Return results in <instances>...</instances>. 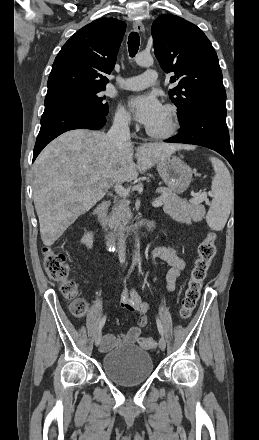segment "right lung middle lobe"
Masks as SVG:
<instances>
[{
    "label": "right lung middle lobe",
    "mask_w": 259,
    "mask_h": 440,
    "mask_svg": "<svg viewBox=\"0 0 259 440\" xmlns=\"http://www.w3.org/2000/svg\"><path fill=\"white\" fill-rule=\"evenodd\" d=\"M104 90L105 88L75 87L47 94L45 110L79 107L107 115L108 104L104 102L105 97L101 95Z\"/></svg>",
    "instance_id": "1"
}]
</instances>
